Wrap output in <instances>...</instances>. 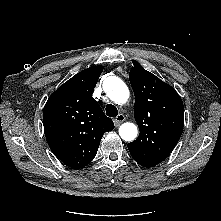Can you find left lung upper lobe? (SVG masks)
<instances>
[{"label":"left lung upper lobe","instance_id":"1","mask_svg":"<svg viewBox=\"0 0 221 221\" xmlns=\"http://www.w3.org/2000/svg\"><path fill=\"white\" fill-rule=\"evenodd\" d=\"M129 74L135 95L134 117L138 138L128 144L134 160L143 167L161 163L174 149L183 131L184 107L178 93L145 70L137 61Z\"/></svg>","mask_w":221,"mask_h":221}]
</instances>
